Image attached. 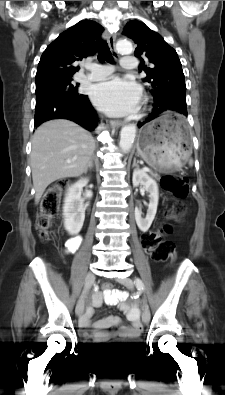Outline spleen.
Returning <instances> with one entry per match:
<instances>
[{
    "instance_id": "3e777b00",
    "label": "spleen",
    "mask_w": 225,
    "mask_h": 395,
    "mask_svg": "<svg viewBox=\"0 0 225 395\" xmlns=\"http://www.w3.org/2000/svg\"><path fill=\"white\" fill-rule=\"evenodd\" d=\"M190 164H192V160H190Z\"/></svg>"
}]
</instances>
